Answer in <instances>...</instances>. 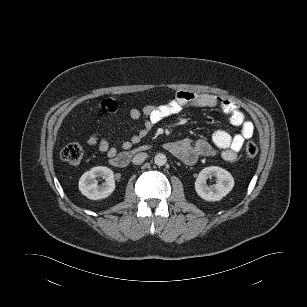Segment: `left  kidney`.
Returning <instances> with one entry per match:
<instances>
[{
    "label": "left kidney",
    "mask_w": 307,
    "mask_h": 307,
    "mask_svg": "<svg viewBox=\"0 0 307 307\" xmlns=\"http://www.w3.org/2000/svg\"><path fill=\"white\" fill-rule=\"evenodd\" d=\"M215 177L216 184L209 187L206 179ZM234 179L225 169L217 166L204 168L195 181V190L197 194L206 201H219L225 197L233 188Z\"/></svg>",
    "instance_id": "left-kidney-1"
}]
</instances>
